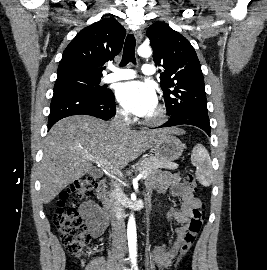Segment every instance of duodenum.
Masks as SVG:
<instances>
[{
	"label": "duodenum",
	"instance_id": "obj_1",
	"mask_svg": "<svg viewBox=\"0 0 267 270\" xmlns=\"http://www.w3.org/2000/svg\"><path fill=\"white\" fill-rule=\"evenodd\" d=\"M97 198L102 202V204L109 209L110 218L113 221H119L120 220V211L115 209L109 202L108 196H107V179L103 178L98 182L97 185ZM147 202L148 199L145 198V221L147 220Z\"/></svg>",
	"mask_w": 267,
	"mask_h": 270
}]
</instances>
